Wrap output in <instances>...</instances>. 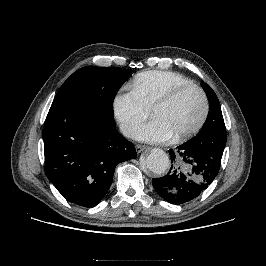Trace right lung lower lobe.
I'll return each instance as SVG.
<instances>
[{
    "mask_svg": "<svg viewBox=\"0 0 266 266\" xmlns=\"http://www.w3.org/2000/svg\"><path fill=\"white\" fill-rule=\"evenodd\" d=\"M42 136L46 176L66 200L82 207H95L116 165L137 156L114 119L89 110L51 107Z\"/></svg>",
    "mask_w": 266,
    "mask_h": 266,
    "instance_id": "obj_1",
    "label": "right lung lower lobe"
}]
</instances>
